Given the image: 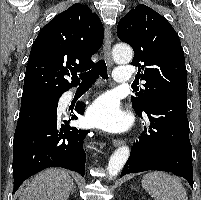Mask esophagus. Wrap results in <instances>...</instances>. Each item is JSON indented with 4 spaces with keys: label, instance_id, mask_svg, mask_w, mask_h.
<instances>
[{
    "label": "esophagus",
    "instance_id": "1",
    "mask_svg": "<svg viewBox=\"0 0 201 200\" xmlns=\"http://www.w3.org/2000/svg\"><path fill=\"white\" fill-rule=\"evenodd\" d=\"M111 42H112V30L109 26L105 27V37H104V44H103V51L106 58V62L109 67L113 65V59L111 54ZM124 143L123 139H114L113 146L118 147Z\"/></svg>",
    "mask_w": 201,
    "mask_h": 200
}]
</instances>
